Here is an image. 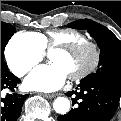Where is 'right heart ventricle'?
I'll use <instances>...</instances> for the list:
<instances>
[{
    "label": "right heart ventricle",
    "mask_w": 121,
    "mask_h": 121,
    "mask_svg": "<svg viewBox=\"0 0 121 121\" xmlns=\"http://www.w3.org/2000/svg\"><path fill=\"white\" fill-rule=\"evenodd\" d=\"M40 44L41 50L46 51L58 45H70L85 41V37L76 32L64 30H52L46 32H29Z\"/></svg>",
    "instance_id": "e07e8e85"
}]
</instances>
